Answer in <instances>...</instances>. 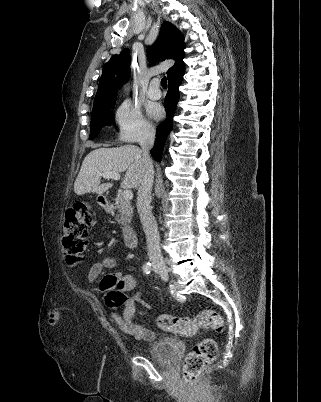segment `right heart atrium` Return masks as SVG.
I'll return each instance as SVG.
<instances>
[{
  "instance_id": "d8ad5b80",
  "label": "right heart atrium",
  "mask_w": 321,
  "mask_h": 402,
  "mask_svg": "<svg viewBox=\"0 0 321 402\" xmlns=\"http://www.w3.org/2000/svg\"><path fill=\"white\" fill-rule=\"evenodd\" d=\"M114 120L118 127V137L123 142H142L153 136L154 129L150 122L141 110L128 100L115 109Z\"/></svg>"
}]
</instances>
